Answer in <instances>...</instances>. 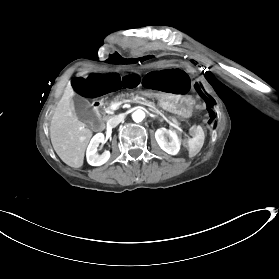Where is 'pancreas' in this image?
<instances>
[{
	"label": "pancreas",
	"mask_w": 279,
	"mask_h": 279,
	"mask_svg": "<svg viewBox=\"0 0 279 279\" xmlns=\"http://www.w3.org/2000/svg\"><path fill=\"white\" fill-rule=\"evenodd\" d=\"M130 94H125V93H121L118 96H116L114 98V100L112 101H108L106 103V109H110L111 105H113L114 103H120L123 101V99L130 97ZM135 100L137 102L141 101V104L143 106H146L148 109H151V111L153 113H157L158 115H162L164 118H168L169 120H173L175 118V115L173 113H168L166 110H163L162 108H157L156 105L154 103H151L148 99L143 98L140 95H137L135 97Z\"/></svg>",
	"instance_id": "1"
}]
</instances>
